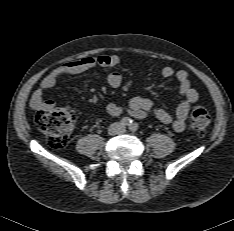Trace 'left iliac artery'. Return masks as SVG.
I'll use <instances>...</instances> for the list:
<instances>
[{
  "instance_id": "44dca946",
  "label": "left iliac artery",
  "mask_w": 234,
  "mask_h": 231,
  "mask_svg": "<svg viewBox=\"0 0 234 231\" xmlns=\"http://www.w3.org/2000/svg\"><path fill=\"white\" fill-rule=\"evenodd\" d=\"M129 129H130L132 132L137 131V129H138V124H137V123H132V124L130 125Z\"/></svg>"
}]
</instances>
